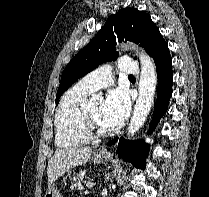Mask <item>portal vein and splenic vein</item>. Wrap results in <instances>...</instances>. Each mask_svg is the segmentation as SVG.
I'll return each instance as SVG.
<instances>
[{
	"instance_id": "portal-vein-and-splenic-vein-1",
	"label": "portal vein and splenic vein",
	"mask_w": 209,
	"mask_h": 197,
	"mask_svg": "<svg viewBox=\"0 0 209 197\" xmlns=\"http://www.w3.org/2000/svg\"><path fill=\"white\" fill-rule=\"evenodd\" d=\"M95 185L93 182H87L86 186L87 188H92Z\"/></svg>"
}]
</instances>
